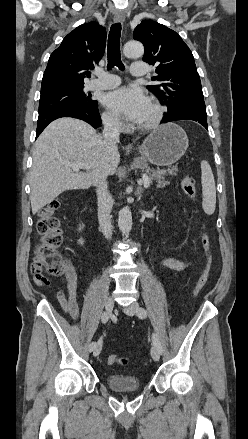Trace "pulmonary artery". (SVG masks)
I'll return each mask as SVG.
<instances>
[{"instance_id": "1", "label": "pulmonary artery", "mask_w": 248, "mask_h": 439, "mask_svg": "<svg viewBox=\"0 0 248 439\" xmlns=\"http://www.w3.org/2000/svg\"><path fill=\"white\" fill-rule=\"evenodd\" d=\"M131 74L133 76H143L146 74L145 62H134L131 66ZM96 78L89 82V88L93 90H108L115 88L120 84V78L114 74L96 71Z\"/></svg>"}]
</instances>
